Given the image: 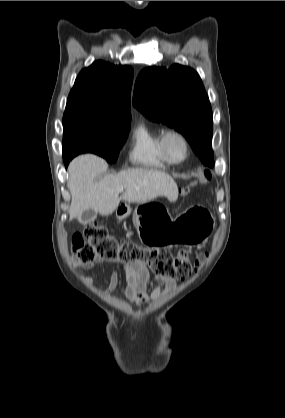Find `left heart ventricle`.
<instances>
[{"mask_svg":"<svg viewBox=\"0 0 285 418\" xmlns=\"http://www.w3.org/2000/svg\"><path fill=\"white\" fill-rule=\"evenodd\" d=\"M168 149H169L171 156L174 159H180L182 158L184 154V146L182 142L176 137H172L169 139Z\"/></svg>","mask_w":285,"mask_h":418,"instance_id":"left-heart-ventricle-1","label":"left heart ventricle"}]
</instances>
